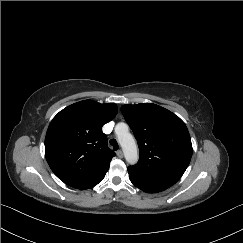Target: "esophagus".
I'll list each match as a JSON object with an SVG mask.
<instances>
[{"instance_id": "obj_1", "label": "esophagus", "mask_w": 243, "mask_h": 243, "mask_svg": "<svg viewBox=\"0 0 243 243\" xmlns=\"http://www.w3.org/2000/svg\"><path fill=\"white\" fill-rule=\"evenodd\" d=\"M116 154H117V156H118L119 158H123V155H124V154H123V151H122V150H118Z\"/></svg>"}]
</instances>
